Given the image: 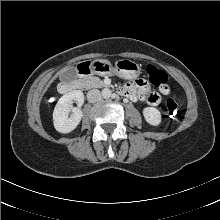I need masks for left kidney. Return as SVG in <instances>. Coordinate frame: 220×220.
Returning a JSON list of instances; mask_svg holds the SVG:
<instances>
[{"label":"left kidney","mask_w":220,"mask_h":220,"mask_svg":"<svg viewBox=\"0 0 220 220\" xmlns=\"http://www.w3.org/2000/svg\"><path fill=\"white\" fill-rule=\"evenodd\" d=\"M143 116L147 123L157 126L161 123V113L154 107H146L143 109Z\"/></svg>","instance_id":"5707ae66"}]
</instances>
